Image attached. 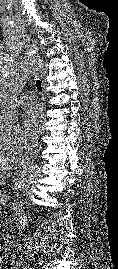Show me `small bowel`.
Returning <instances> with one entry per match:
<instances>
[{
    "label": "small bowel",
    "instance_id": "1",
    "mask_svg": "<svg viewBox=\"0 0 118 269\" xmlns=\"http://www.w3.org/2000/svg\"><path fill=\"white\" fill-rule=\"evenodd\" d=\"M5 241H8V239H6ZM0 269H2V267L0 266Z\"/></svg>",
    "mask_w": 118,
    "mask_h": 269
}]
</instances>
